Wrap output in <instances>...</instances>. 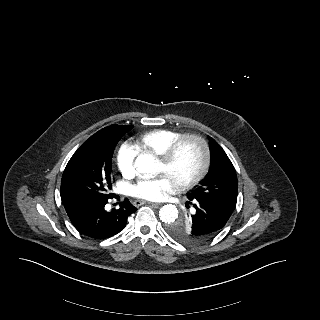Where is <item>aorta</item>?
Instances as JSON below:
<instances>
[{"label":"aorta","instance_id":"762f6f07","mask_svg":"<svg viewBox=\"0 0 320 320\" xmlns=\"http://www.w3.org/2000/svg\"><path fill=\"white\" fill-rule=\"evenodd\" d=\"M135 169L142 175H156L159 173V162L152 155L141 154L134 163ZM178 209L172 204L164 205L160 208V220L166 224L174 222L178 218Z\"/></svg>","mask_w":320,"mask_h":320}]
</instances>
